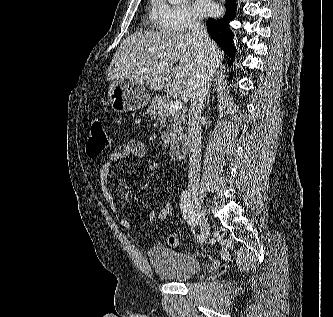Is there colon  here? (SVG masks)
I'll list each match as a JSON object with an SVG mask.
<instances>
[{
  "label": "colon",
  "mask_w": 333,
  "mask_h": 317,
  "mask_svg": "<svg viewBox=\"0 0 333 317\" xmlns=\"http://www.w3.org/2000/svg\"><path fill=\"white\" fill-rule=\"evenodd\" d=\"M110 144V137L98 121H92L90 125L89 137L86 142V152L91 157L99 156ZM175 215L174 206L171 203L164 204L156 211V221L159 222H172ZM167 244L170 247H177L179 245V238L176 234L170 233L167 236Z\"/></svg>",
  "instance_id": "obj_1"
}]
</instances>
